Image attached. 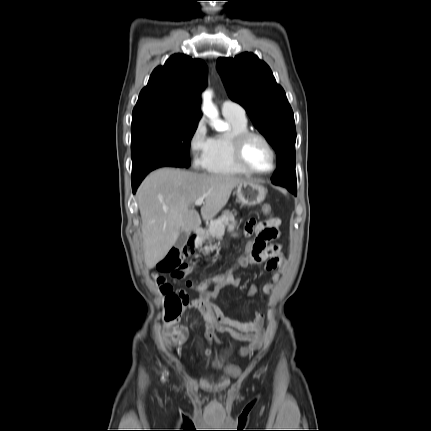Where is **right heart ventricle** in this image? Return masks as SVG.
<instances>
[{"label": "right heart ventricle", "mask_w": 431, "mask_h": 431, "mask_svg": "<svg viewBox=\"0 0 431 431\" xmlns=\"http://www.w3.org/2000/svg\"><path fill=\"white\" fill-rule=\"evenodd\" d=\"M230 124V129L224 134L213 138L212 151L207 171L219 175H244L247 174L234 161L232 155V140L242 132L248 131L246 119L225 116Z\"/></svg>", "instance_id": "obj_1"}]
</instances>
